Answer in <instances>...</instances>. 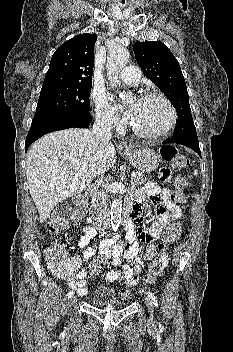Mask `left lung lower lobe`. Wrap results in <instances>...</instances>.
<instances>
[{
  "instance_id": "0a47b994",
  "label": "left lung lower lobe",
  "mask_w": 233,
  "mask_h": 352,
  "mask_svg": "<svg viewBox=\"0 0 233 352\" xmlns=\"http://www.w3.org/2000/svg\"><path fill=\"white\" fill-rule=\"evenodd\" d=\"M163 143L182 144L184 146H187V147L191 148L193 151L197 152L198 155L201 157V151H200V148H199L198 138L185 139V140H179V141H175L172 138H168Z\"/></svg>"
}]
</instances>
